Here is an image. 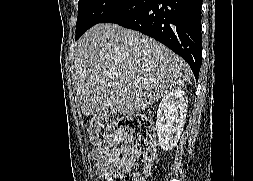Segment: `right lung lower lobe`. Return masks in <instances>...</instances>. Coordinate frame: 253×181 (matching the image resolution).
Returning <instances> with one entry per match:
<instances>
[{"instance_id": "right-lung-lower-lobe-1", "label": "right lung lower lobe", "mask_w": 253, "mask_h": 181, "mask_svg": "<svg viewBox=\"0 0 253 181\" xmlns=\"http://www.w3.org/2000/svg\"><path fill=\"white\" fill-rule=\"evenodd\" d=\"M201 1L128 0L103 23H117L165 44L188 62L198 80L202 46Z\"/></svg>"}]
</instances>
